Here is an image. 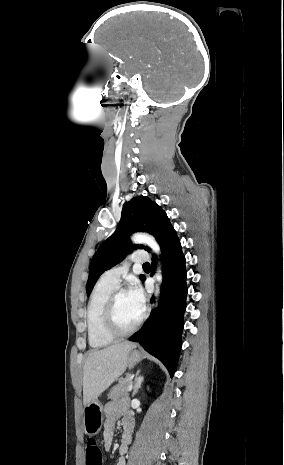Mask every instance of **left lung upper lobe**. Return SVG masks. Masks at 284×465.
Listing matches in <instances>:
<instances>
[{
  "label": "left lung upper lobe",
  "instance_id": "left-lung-upper-lobe-1",
  "mask_svg": "<svg viewBox=\"0 0 284 465\" xmlns=\"http://www.w3.org/2000/svg\"><path fill=\"white\" fill-rule=\"evenodd\" d=\"M135 231L153 234L162 248L175 231L165 211L146 196L132 198L123 205L121 220L114 233L98 248L90 264L86 292L89 295L100 275L124 259L132 249L148 247L134 246L128 236ZM145 276L140 275L142 280Z\"/></svg>",
  "mask_w": 284,
  "mask_h": 465
}]
</instances>
